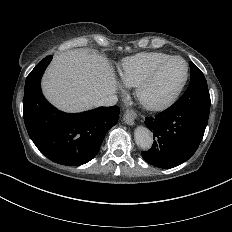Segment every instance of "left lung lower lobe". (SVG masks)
<instances>
[{"mask_svg": "<svg viewBox=\"0 0 232 232\" xmlns=\"http://www.w3.org/2000/svg\"><path fill=\"white\" fill-rule=\"evenodd\" d=\"M209 116L189 108L171 106L155 117L145 119L153 132L150 150L141 152L149 164L159 168H173L187 161L197 150Z\"/></svg>", "mask_w": 232, "mask_h": 232, "instance_id": "left-lung-lower-lobe-1", "label": "left lung lower lobe"}]
</instances>
